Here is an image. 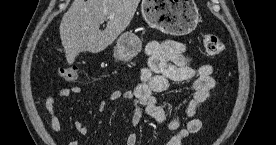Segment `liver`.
<instances>
[{
  "instance_id": "1",
  "label": "liver",
  "mask_w": 276,
  "mask_h": 145,
  "mask_svg": "<svg viewBox=\"0 0 276 145\" xmlns=\"http://www.w3.org/2000/svg\"><path fill=\"white\" fill-rule=\"evenodd\" d=\"M139 2L74 0L59 27L67 62L71 64L80 52L99 53L111 45L131 22ZM105 20L107 27L101 31L100 24Z\"/></svg>"
}]
</instances>
